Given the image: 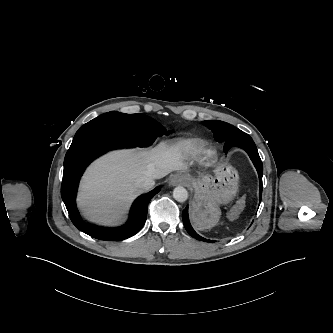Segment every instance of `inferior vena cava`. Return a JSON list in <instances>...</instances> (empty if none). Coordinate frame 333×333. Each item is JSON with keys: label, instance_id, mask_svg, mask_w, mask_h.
<instances>
[{"label": "inferior vena cava", "instance_id": "obj_1", "mask_svg": "<svg viewBox=\"0 0 333 333\" xmlns=\"http://www.w3.org/2000/svg\"><path fill=\"white\" fill-rule=\"evenodd\" d=\"M155 185V181L151 177H142L136 181V186L141 190L147 191Z\"/></svg>", "mask_w": 333, "mask_h": 333}]
</instances>
